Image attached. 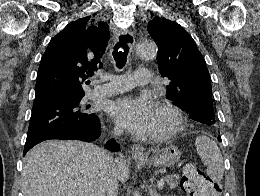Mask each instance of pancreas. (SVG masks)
I'll return each mask as SVG.
<instances>
[{"instance_id": "obj_1", "label": "pancreas", "mask_w": 260, "mask_h": 196, "mask_svg": "<svg viewBox=\"0 0 260 196\" xmlns=\"http://www.w3.org/2000/svg\"><path fill=\"white\" fill-rule=\"evenodd\" d=\"M165 182L170 186V188H178L179 176L172 174V176H165Z\"/></svg>"}]
</instances>
